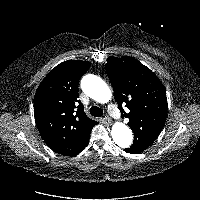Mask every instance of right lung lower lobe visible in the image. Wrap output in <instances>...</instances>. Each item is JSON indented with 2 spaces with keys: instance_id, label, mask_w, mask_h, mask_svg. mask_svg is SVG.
I'll return each mask as SVG.
<instances>
[{
  "instance_id": "98d812e1",
  "label": "right lung lower lobe",
  "mask_w": 200,
  "mask_h": 200,
  "mask_svg": "<svg viewBox=\"0 0 200 200\" xmlns=\"http://www.w3.org/2000/svg\"><path fill=\"white\" fill-rule=\"evenodd\" d=\"M88 142H89V139H88V141H87L86 145L84 146V148L87 146ZM84 148H83V149H84ZM83 149H82V150H83Z\"/></svg>"
}]
</instances>
